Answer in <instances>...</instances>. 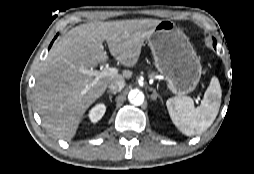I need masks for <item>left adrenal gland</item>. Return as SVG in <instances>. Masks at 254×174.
<instances>
[{
  "mask_svg": "<svg viewBox=\"0 0 254 174\" xmlns=\"http://www.w3.org/2000/svg\"><path fill=\"white\" fill-rule=\"evenodd\" d=\"M150 91L153 92V94L151 95V99H152L153 101H155L157 98H159V99L162 101L161 96L156 92L155 89H150Z\"/></svg>",
  "mask_w": 254,
  "mask_h": 174,
  "instance_id": "a2214340",
  "label": "left adrenal gland"
}]
</instances>
